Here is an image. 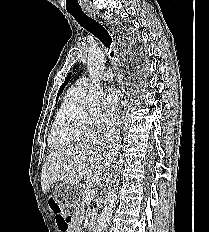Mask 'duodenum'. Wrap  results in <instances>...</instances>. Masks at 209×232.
<instances>
[{"mask_svg":"<svg viewBox=\"0 0 209 232\" xmlns=\"http://www.w3.org/2000/svg\"><path fill=\"white\" fill-rule=\"evenodd\" d=\"M89 232H96L95 224H93V223L90 224Z\"/></svg>","mask_w":209,"mask_h":232,"instance_id":"410a0bca","label":"duodenum"}]
</instances>
